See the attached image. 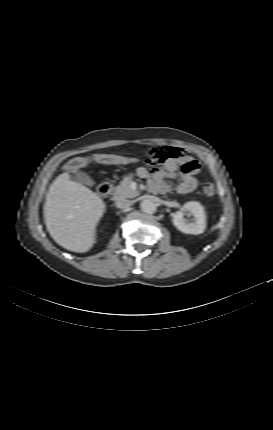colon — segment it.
I'll use <instances>...</instances> for the list:
<instances>
[{"mask_svg":"<svg viewBox=\"0 0 273 430\" xmlns=\"http://www.w3.org/2000/svg\"><path fill=\"white\" fill-rule=\"evenodd\" d=\"M134 161H135V158L127 157V156H119V155H113V154H97L90 157H76L74 159H71L66 165V170L71 173H75L78 170L92 163L122 164V163H130ZM202 190H203V193L208 197H212L215 194V186L210 182L204 183Z\"/></svg>","mask_w":273,"mask_h":430,"instance_id":"1","label":"colon"}]
</instances>
